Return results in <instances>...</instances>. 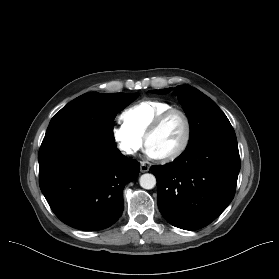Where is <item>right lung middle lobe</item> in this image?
<instances>
[{
    "instance_id": "1",
    "label": "right lung middle lobe",
    "mask_w": 279,
    "mask_h": 279,
    "mask_svg": "<svg viewBox=\"0 0 279 279\" xmlns=\"http://www.w3.org/2000/svg\"><path fill=\"white\" fill-rule=\"evenodd\" d=\"M138 97L137 93L83 94L57 112L51 119L45 136L79 130L114 144L113 121L117 113Z\"/></svg>"
}]
</instances>
